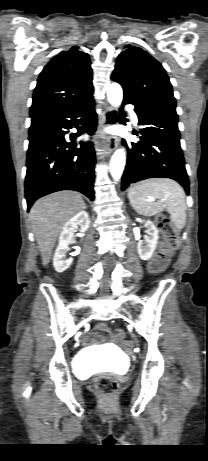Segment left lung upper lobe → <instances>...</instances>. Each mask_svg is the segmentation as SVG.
Returning a JSON list of instances; mask_svg holds the SVG:
<instances>
[{
  "label": "left lung upper lobe",
  "instance_id": "left-lung-upper-lobe-1",
  "mask_svg": "<svg viewBox=\"0 0 208 461\" xmlns=\"http://www.w3.org/2000/svg\"><path fill=\"white\" fill-rule=\"evenodd\" d=\"M111 79L140 106L176 109L172 85L163 66L146 51L127 45L117 58Z\"/></svg>",
  "mask_w": 208,
  "mask_h": 461
}]
</instances>
